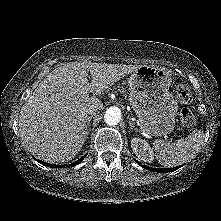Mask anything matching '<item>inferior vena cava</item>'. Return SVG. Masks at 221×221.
Returning <instances> with one entry per match:
<instances>
[{"mask_svg":"<svg viewBox=\"0 0 221 221\" xmlns=\"http://www.w3.org/2000/svg\"><path fill=\"white\" fill-rule=\"evenodd\" d=\"M100 107H90L88 110H87V114L90 115V116H93V115H96L97 113H99L100 111Z\"/></svg>","mask_w":221,"mask_h":221,"instance_id":"inferior-vena-cava-1","label":"inferior vena cava"}]
</instances>
